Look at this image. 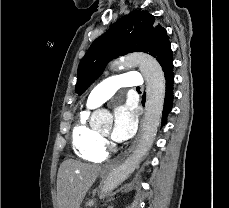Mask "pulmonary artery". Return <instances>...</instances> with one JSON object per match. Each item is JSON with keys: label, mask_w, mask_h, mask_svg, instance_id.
<instances>
[{"label": "pulmonary artery", "mask_w": 229, "mask_h": 208, "mask_svg": "<svg viewBox=\"0 0 229 208\" xmlns=\"http://www.w3.org/2000/svg\"><path fill=\"white\" fill-rule=\"evenodd\" d=\"M139 76V72H126L102 80L92 89L87 100V105L92 109L101 106L121 87H141L142 78H136Z\"/></svg>", "instance_id": "e3ab8cb5"}]
</instances>
